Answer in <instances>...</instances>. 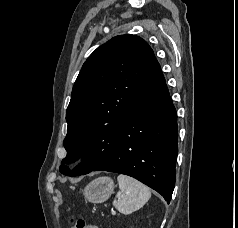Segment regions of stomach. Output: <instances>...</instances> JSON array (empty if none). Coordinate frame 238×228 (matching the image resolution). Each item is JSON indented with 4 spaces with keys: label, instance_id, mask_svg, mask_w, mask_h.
Here are the masks:
<instances>
[{
    "label": "stomach",
    "instance_id": "stomach-1",
    "mask_svg": "<svg viewBox=\"0 0 238 228\" xmlns=\"http://www.w3.org/2000/svg\"><path fill=\"white\" fill-rule=\"evenodd\" d=\"M114 182L109 177H99L91 181L83 190L84 197L92 203H103L114 192Z\"/></svg>",
    "mask_w": 238,
    "mask_h": 228
}]
</instances>
